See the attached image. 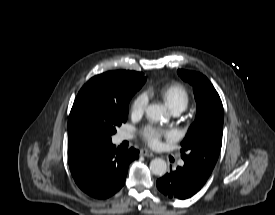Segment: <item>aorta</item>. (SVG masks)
Masks as SVG:
<instances>
[{
  "mask_svg": "<svg viewBox=\"0 0 275 215\" xmlns=\"http://www.w3.org/2000/svg\"><path fill=\"white\" fill-rule=\"evenodd\" d=\"M146 116L155 122L167 121L169 119L166 109L158 104L149 105L146 108ZM150 170L154 175L163 176L167 172V163L163 159L155 158L150 162Z\"/></svg>",
  "mask_w": 275,
  "mask_h": 215,
  "instance_id": "762f6f07",
  "label": "aorta"
}]
</instances>
